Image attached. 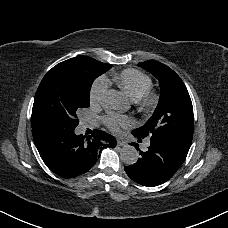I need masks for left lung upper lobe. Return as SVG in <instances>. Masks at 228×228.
<instances>
[{"instance_id":"left-lung-upper-lobe-1","label":"left lung upper lobe","mask_w":228,"mask_h":228,"mask_svg":"<svg viewBox=\"0 0 228 228\" xmlns=\"http://www.w3.org/2000/svg\"><path fill=\"white\" fill-rule=\"evenodd\" d=\"M138 65L159 80L162 90L152 117L133 131L141 137L161 134L192 141L193 107L183 81L171 68L158 61H145Z\"/></svg>"}]
</instances>
